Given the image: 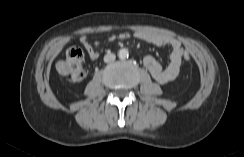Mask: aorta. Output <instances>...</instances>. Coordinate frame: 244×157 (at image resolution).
Returning <instances> with one entry per match:
<instances>
[{
	"instance_id": "762f6f07",
	"label": "aorta",
	"mask_w": 244,
	"mask_h": 157,
	"mask_svg": "<svg viewBox=\"0 0 244 157\" xmlns=\"http://www.w3.org/2000/svg\"><path fill=\"white\" fill-rule=\"evenodd\" d=\"M129 56V52L127 49L123 48L118 51V57L120 59H126Z\"/></svg>"
}]
</instances>
